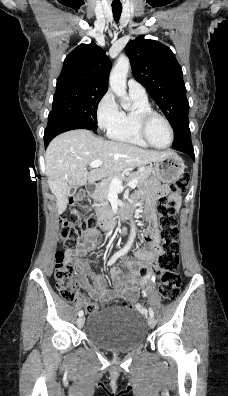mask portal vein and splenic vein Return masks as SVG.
<instances>
[{
	"instance_id": "18ae733b",
	"label": "portal vein and splenic vein",
	"mask_w": 228,
	"mask_h": 396,
	"mask_svg": "<svg viewBox=\"0 0 228 396\" xmlns=\"http://www.w3.org/2000/svg\"><path fill=\"white\" fill-rule=\"evenodd\" d=\"M102 164H103L102 160H94V161L89 163V166L91 168H97V167L101 166ZM137 181H138V179L134 178L133 180L129 181L126 186H128L130 188H134L136 186V184H137ZM110 187H111V190H113L115 192H121L125 188L122 185V181L120 179H118V178H113L111 180Z\"/></svg>"
}]
</instances>
